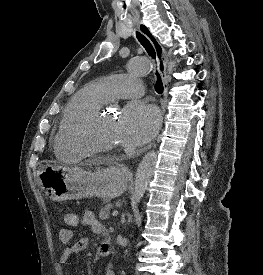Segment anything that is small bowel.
<instances>
[{"instance_id":"small-bowel-1","label":"small bowel","mask_w":263,"mask_h":275,"mask_svg":"<svg viewBox=\"0 0 263 275\" xmlns=\"http://www.w3.org/2000/svg\"><path fill=\"white\" fill-rule=\"evenodd\" d=\"M82 222L84 225L90 227L91 231L97 235L106 236L107 231L104 225L97 219L93 211H86L82 216ZM74 237V231L71 227L61 228L58 232V238L61 243L65 244V248L60 257V264L62 266H71L70 259L72 256L85 250L89 244L87 237H82L76 242L71 244ZM111 253L110 244L108 240H104L98 248V255L101 257L109 256ZM105 275H116L112 267L106 270Z\"/></svg>"}]
</instances>
